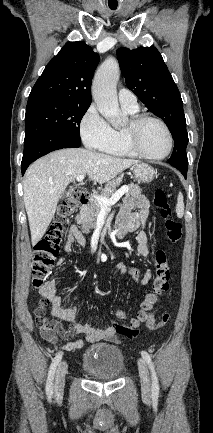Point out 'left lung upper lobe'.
I'll list each match as a JSON object with an SVG mask.
<instances>
[{
	"instance_id": "obj_1",
	"label": "left lung upper lobe",
	"mask_w": 213,
	"mask_h": 433,
	"mask_svg": "<svg viewBox=\"0 0 213 433\" xmlns=\"http://www.w3.org/2000/svg\"><path fill=\"white\" fill-rule=\"evenodd\" d=\"M117 58L127 87L161 118L174 136L171 165L188 168V134L179 90L155 47L119 48Z\"/></svg>"
}]
</instances>
